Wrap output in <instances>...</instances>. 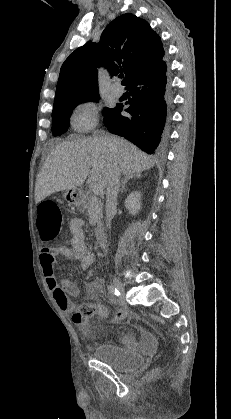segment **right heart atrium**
<instances>
[{"mask_svg":"<svg viewBox=\"0 0 231 419\" xmlns=\"http://www.w3.org/2000/svg\"><path fill=\"white\" fill-rule=\"evenodd\" d=\"M99 118V105L94 100H85L78 103L71 116V125L78 132L91 130Z\"/></svg>","mask_w":231,"mask_h":419,"instance_id":"1","label":"right heart atrium"}]
</instances>
